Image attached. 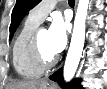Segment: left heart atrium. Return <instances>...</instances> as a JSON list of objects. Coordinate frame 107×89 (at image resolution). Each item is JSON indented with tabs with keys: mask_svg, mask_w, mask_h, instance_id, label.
<instances>
[{
	"mask_svg": "<svg viewBox=\"0 0 107 89\" xmlns=\"http://www.w3.org/2000/svg\"><path fill=\"white\" fill-rule=\"evenodd\" d=\"M68 30L69 25L65 18L61 15H55L48 30L49 45L55 54L61 52L65 48L67 44Z\"/></svg>",
	"mask_w": 107,
	"mask_h": 89,
	"instance_id": "left-heart-atrium-1",
	"label": "left heart atrium"
}]
</instances>
